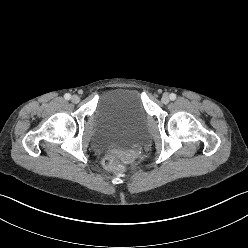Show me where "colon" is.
I'll list each match as a JSON object with an SVG mask.
<instances>
[{
  "label": "colon",
  "instance_id": "colon-1",
  "mask_svg": "<svg viewBox=\"0 0 248 248\" xmlns=\"http://www.w3.org/2000/svg\"><path fill=\"white\" fill-rule=\"evenodd\" d=\"M103 164L107 169L113 172H122L124 170V165L116 154L106 155Z\"/></svg>",
  "mask_w": 248,
  "mask_h": 248
}]
</instances>
